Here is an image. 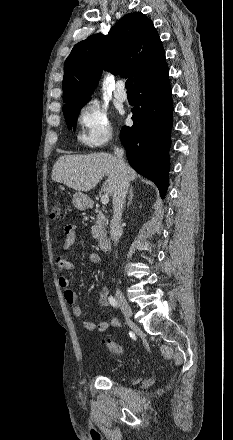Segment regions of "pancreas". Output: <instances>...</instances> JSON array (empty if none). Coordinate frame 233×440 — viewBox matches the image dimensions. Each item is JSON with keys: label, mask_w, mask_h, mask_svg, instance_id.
<instances>
[{"label": "pancreas", "mask_w": 233, "mask_h": 440, "mask_svg": "<svg viewBox=\"0 0 233 440\" xmlns=\"http://www.w3.org/2000/svg\"><path fill=\"white\" fill-rule=\"evenodd\" d=\"M95 212L97 213L95 224L92 226V236L94 239H100L101 237L106 235V218L102 211L96 209Z\"/></svg>", "instance_id": "obj_1"}]
</instances>
